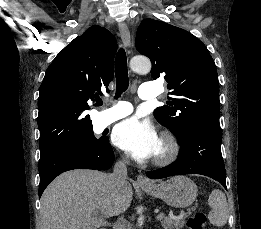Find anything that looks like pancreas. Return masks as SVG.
<instances>
[{"label": "pancreas", "mask_w": 261, "mask_h": 229, "mask_svg": "<svg viewBox=\"0 0 261 229\" xmlns=\"http://www.w3.org/2000/svg\"><path fill=\"white\" fill-rule=\"evenodd\" d=\"M183 215L182 219H171V217H163L161 219V225L163 229H183L185 225V219L191 215V211H188V213H181Z\"/></svg>", "instance_id": "obj_1"}]
</instances>
